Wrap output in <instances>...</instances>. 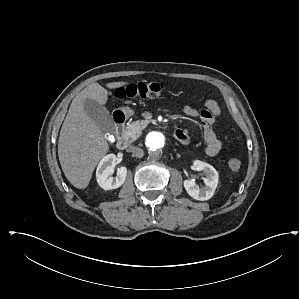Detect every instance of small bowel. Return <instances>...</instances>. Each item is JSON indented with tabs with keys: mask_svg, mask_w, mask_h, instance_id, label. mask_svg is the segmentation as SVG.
Instances as JSON below:
<instances>
[{
	"mask_svg": "<svg viewBox=\"0 0 299 299\" xmlns=\"http://www.w3.org/2000/svg\"><path fill=\"white\" fill-rule=\"evenodd\" d=\"M183 112L185 115L192 118H200L203 124V138L205 142V152L208 156H215L221 149V143L214 131V124L216 118L220 115L221 109L218 103L213 99H207L203 103V109L198 110L192 105L184 106ZM178 137L177 140L182 144L189 142L188 133L183 129L175 131Z\"/></svg>",
	"mask_w": 299,
	"mask_h": 299,
	"instance_id": "obj_1",
	"label": "small bowel"
}]
</instances>
